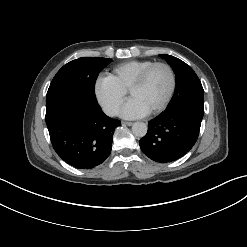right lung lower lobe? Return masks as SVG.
Segmentation results:
<instances>
[{"mask_svg": "<svg viewBox=\"0 0 247 247\" xmlns=\"http://www.w3.org/2000/svg\"><path fill=\"white\" fill-rule=\"evenodd\" d=\"M46 124L57 154L75 168L91 169L110 155L121 122L106 116L97 101L65 95L46 103Z\"/></svg>", "mask_w": 247, "mask_h": 247, "instance_id": "right-lung-lower-lobe-1", "label": "right lung lower lobe"}]
</instances>
